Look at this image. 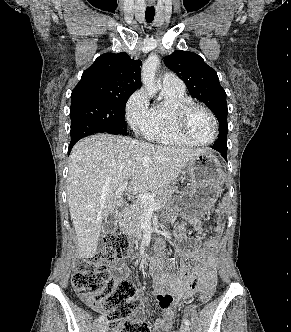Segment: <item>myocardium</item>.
Wrapping results in <instances>:
<instances>
[{
  "label": "myocardium",
  "mask_w": 291,
  "mask_h": 332,
  "mask_svg": "<svg viewBox=\"0 0 291 332\" xmlns=\"http://www.w3.org/2000/svg\"><path fill=\"white\" fill-rule=\"evenodd\" d=\"M196 109H201V110L205 111L210 116V118L213 122L214 136L209 141L197 140L190 134V132L188 130L189 117H190L191 113ZM176 126L182 136H184L187 140L194 143L195 145H200V146L212 144L213 142L216 141L218 134H219V125H218V121H217L215 114L207 106L200 104V103H195V102L185 103L178 108V110L176 112Z\"/></svg>",
  "instance_id": "myocardium-1"
}]
</instances>
